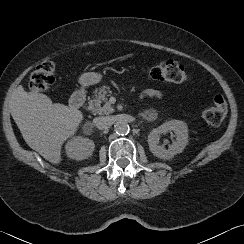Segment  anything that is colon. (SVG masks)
<instances>
[{
    "label": "colon",
    "instance_id": "colon-1",
    "mask_svg": "<svg viewBox=\"0 0 244 244\" xmlns=\"http://www.w3.org/2000/svg\"><path fill=\"white\" fill-rule=\"evenodd\" d=\"M152 79L185 84L189 81V76L185 68L172 60H161L147 69ZM55 81V64L45 61L39 64L30 74L29 86L31 90L40 92L49 90ZM227 114L226 100L218 95L214 97L213 103L209 107L201 110L202 118L212 126L220 125Z\"/></svg>",
    "mask_w": 244,
    "mask_h": 244
}]
</instances>
